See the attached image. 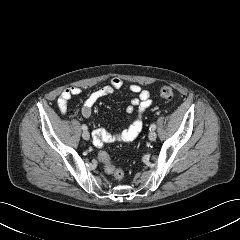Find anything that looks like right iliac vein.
Returning <instances> with one entry per match:
<instances>
[{
    "label": "right iliac vein",
    "instance_id": "right-iliac-vein-1",
    "mask_svg": "<svg viewBox=\"0 0 240 240\" xmlns=\"http://www.w3.org/2000/svg\"><path fill=\"white\" fill-rule=\"evenodd\" d=\"M82 137H83L84 140H89L90 139V133L87 130H85L82 133Z\"/></svg>",
    "mask_w": 240,
    "mask_h": 240
}]
</instances>
